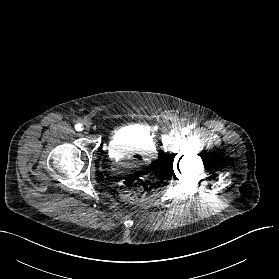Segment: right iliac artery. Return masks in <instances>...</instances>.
I'll return each mask as SVG.
<instances>
[{
    "mask_svg": "<svg viewBox=\"0 0 279 279\" xmlns=\"http://www.w3.org/2000/svg\"><path fill=\"white\" fill-rule=\"evenodd\" d=\"M75 129H76L77 131L83 130L81 124H76V125H75Z\"/></svg>",
    "mask_w": 279,
    "mask_h": 279,
    "instance_id": "1",
    "label": "right iliac artery"
}]
</instances>
